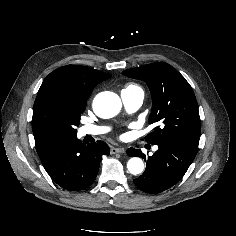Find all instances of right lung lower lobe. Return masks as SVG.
<instances>
[{
    "label": "right lung lower lobe",
    "mask_w": 236,
    "mask_h": 236,
    "mask_svg": "<svg viewBox=\"0 0 236 236\" xmlns=\"http://www.w3.org/2000/svg\"><path fill=\"white\" fill-rule=\"evenodd\" d=\"M36 151L52 180L68 191L90 186L98 173L102 155L110 148L103 141L85 145L77 136H57L35 140Z\"/></svg>",
    "instance_id": "1"
}]
</instances>
